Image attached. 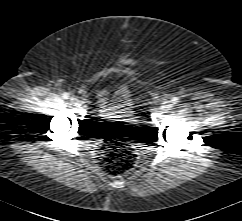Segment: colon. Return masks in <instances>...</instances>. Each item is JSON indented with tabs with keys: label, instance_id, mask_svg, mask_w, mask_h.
I'll return each instance as SVG.
<instances>
[{
	"label": "colon",
	"instance_id": "1",
	"mask_svg": "<svg viewBox=\"0 0 242 221\" xmlns=\"http://www.w3.org/2000/svg\"><path fill=\"white\" fill-rule=\"evenodd\" d=\"M137 162L135 149L127 142L110 140L97 151V163L108 175L121 176L129 172Z\"/></svg>",
	"mask_w": 242,
	"mask_h": 221
}]
</instances>
